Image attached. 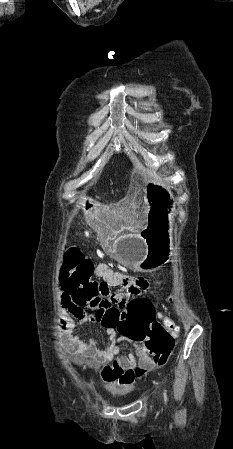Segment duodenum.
Returning a JSON list of instances; mask_svg holds the SVG:
<instances>
[{
  "mask_svg": "<svg viewBox=\"0 0 233 449\" xmlns=\"http://www.w3.org/2000/svg\"><path fill=\"white\" fill-rule=\"evenodd\" d=\"M83 203L86 204V207H87L88 209H91V208L93 207V204H92L91 202H88L87 199H84V200H83Z\"/></svg>",
  "mask_w": 233,
  "mask_h": 449,
  "instance_id": "obj_1",
  "label": "duodenum"
}]
</instances>
